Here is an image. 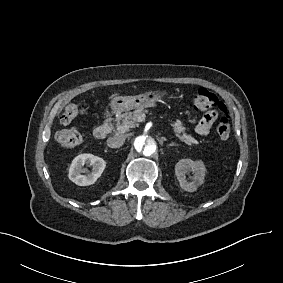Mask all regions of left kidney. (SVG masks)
Returning <instances> with one entry per match:
<instances>
[{
  "instance_id": "5707ae66",
  "label": "left kidney",
  "mask_w": 283,
  "mask_h": 283,
  "mask_svg": "<svg viewBox=\"0 0 283 283\" xmlns=\"http://www.w3.org/2000/svg\"><path fill=\"white\" fill-rule=\"evenodd\" d=\"M188 171L193 172L192 181L186 179ZM175 173L181 189L194 192L204 182L205 167L202 162H194L190 159H182L175 166Z\"/></svg>"
}]
</instances>
